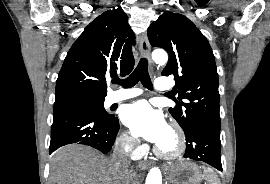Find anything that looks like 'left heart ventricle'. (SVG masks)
Returning <instances> with one entry per match:
<instances>
[{
	"label": "left heart ventricle",
	"instance_id": "1",
	"mask_svg": "<svg viewBox=\"0 0 270 184\" xmlns=\"http://www.w3.org/2000/svg\"><path fill=\"white\" fill-rule=\"evenodd\" d=\"M175 139L171 131L169 130L165 138L162 142L158 145L164 151H170L174 148Z\"/></svg>",
	"mask_w": 270,
	"mask_h": 184
}]
</instances>
